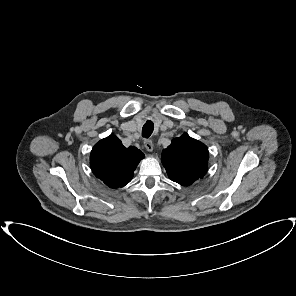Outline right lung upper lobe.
<instances>
[{"label": "right lung upper lobe", "mask_w": 296, "mask_h": 296, "mask_svg": "<svg viewBox=\"0 0 296 296\" xmlns=\"http://www.w3.org/2000/svg\"><path fill=\"white\" fill-rule=\"evenodd\" d=\"M144 154L136 147L126 148L114 135L100 140L90 155L91 169L110 188L123 187L134 175Z\"/></svg>", "instance_id": "1"}]
</instances>
